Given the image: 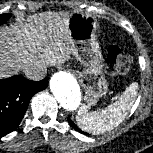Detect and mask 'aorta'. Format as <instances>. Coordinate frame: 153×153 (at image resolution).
I'll list each match as a JSON object with an SVG mask.
<instances>
[{
    "instance_id": "1",
    "label": "aorta",
    "mask_w": 153,
    "mask_h": 153,
    "mask_svg": "<svg viewBox=\"0 0 153 153\" xmlns=\"http://www.w3.org/2000/svg\"><path fill=\"white\" fill-rule=\"evenodd\" d=\"M50 89L63 109L73 111L80 104V87L72 75L67 73L54 75L50 81Z\"/></svg>"
}]
</instances>
